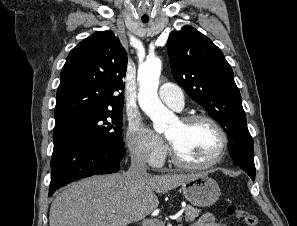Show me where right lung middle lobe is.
<instances>
[{
    "label": "right lung middle lobe",
    "instance_id": "right-lung-middle-lobe-1",
    "mask_svg": "<svg viewBox=\"0 0 297 226\" xmlns=\"http://www.w3.org/2000/svg\"><path fill=\"white\" fill-rule=\"evenodd\" d=\"M122 110L83 111L56 120L53 137L76 134L123 147Z\"/></svg>",
    "mask_w": 297,
    "mask_h": 226
}]
</instances>
